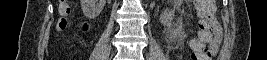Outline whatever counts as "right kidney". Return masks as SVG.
<instances>
[{
  "label": "right kidney",
  "instance_id": "obj_1",
  "mask_svg": "<svg viewBox=\"0 0 267 60\" xmlns=\"http://www.w3.org/2000/svg\"><path fill=\"white\" fill-rule=\"evenodd\" d=\"M106 0H81V9L85 17L94 19L101 13Z\"/></svg>",
  "mask_w": 267,
  "mask_h": 60
}]
</instances>
